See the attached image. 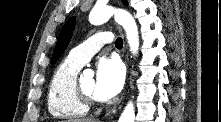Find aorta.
<instances>
[{"label": "aorta", "mask_w": 221, "mask_h": 122, "mask_svg": "<svg viewBox=\"0 0 221 122\" xmlns=\"http://www.w3.org/2000/svg\"><path fill=\"white\" fill-rule=\"evenodd\" d=\"M112 16L115 21L122 25L126 32L130 51L135 55L139 49V35L137 24L132 15L123 10L112 6H95L89 15V21L93 25H100L107 22ZM135 108L132 101H129L124 108L118 122H134Z\"/></svg>", "instance_id": "aorta-1"}]
</instances>
